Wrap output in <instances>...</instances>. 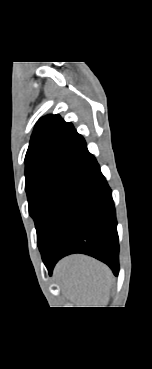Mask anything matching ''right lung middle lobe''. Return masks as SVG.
<instances>
[{"label": "right lung middle lobe", "mask_w": 152, "mask_h": 369, "mask_svg": "<svg viewBox=\"0 0 152 369\" xmlns=\"http://www.w3.org/2000/svg\"><path fill=\"white\" fill-rule=\"evenodd\" d=\"M80 164L63 163L40 167L26 173L29 213L34 219L37 244L44 239L56 205Z\"/></svg>", "instance_id": "obj_1"}]
</instances>
